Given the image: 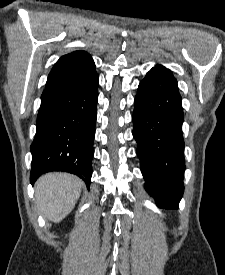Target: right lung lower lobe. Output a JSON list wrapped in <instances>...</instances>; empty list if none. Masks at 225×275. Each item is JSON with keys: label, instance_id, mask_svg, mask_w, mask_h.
Returning <instances> with one entry per match:
<instances>
[{"label": "right lung lower lobe", "instance_id": "1", "mask_svg": "<svg viewBox=\"0 0 225 275\" xmlns=\"http://www.w3.org/2000/svg\"><path fill=\"white\" fill-rule=\"evenodd\" d=\"M97 100V74L89 85L41 96L30 147L31 183L43 173L64 171L79 176L89 186Z\"/></svg>", "mask_w": 225, "mask_h": 275}]
</instances>
